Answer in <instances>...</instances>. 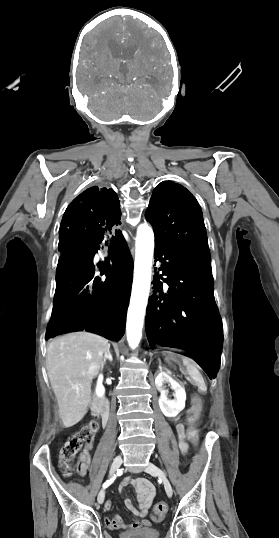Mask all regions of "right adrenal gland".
I'll return each instance as SVG.
<instances>
[{"instance_id":"obj_1","label":"right adrenal gland","mask_w":279,"mask_h":538,"mask_svg":"<svg viewBox=\"0 0 279 538\" xmlns=\"http://www.w3.org/2000/svg\"><path fill=\"white\" fill-rule=\"evenodd\" d=\"M112 360V356L110 354V344L107 348V352H105L104 356H103V362H102V368H104V364H106V360Z\"/></svg>"}]
</instances>
